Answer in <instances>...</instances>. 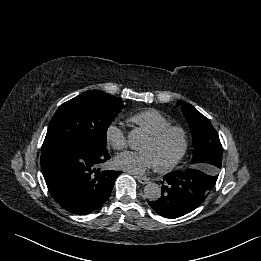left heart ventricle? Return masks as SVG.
Returning <instances> with one entry per match:
<instances>
[{
	"mask_svg": "<svg viewBox=\"0 0 261 261\" xmlns=\"http://www.w3.org/2000/svg\"><path fill=\"white\" fill-rule=\"evenodd\" d=\"M180 146L179 136L172 134L160 143H155L148 138L143 144L142 150L151 152L156 159L157 165H162L172 160L178 154Z\"/></svg>",
	"mask_w": 261,
	"mask_h": 261,
	"instance_id": "b2bd125f",
	"label": "left heart ventricle"
}]
</instances>
